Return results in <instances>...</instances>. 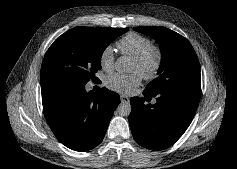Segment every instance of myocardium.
Here are the masks:
<instances>
[{
	"mask_svg": "<svg viewBox=\"0 0 237 169\" xmlns=\"http://www.w3.org/2000/svg\"><path fill=\"white\" fill-rule=\"evenodd\" d=\"M152 59V63L149 65V61ZM133 60L137 62L140 67V74L144 79L153 78L162 63V51L155 45L149 46L142 53L133 57Z\"/></svg>",
	"mask_w": 237,
	"mask_h": 169,
	"instance_id": "obj_1",
	"label": "myocardium"
}]
</instances>
